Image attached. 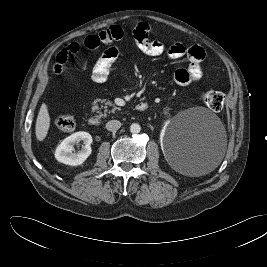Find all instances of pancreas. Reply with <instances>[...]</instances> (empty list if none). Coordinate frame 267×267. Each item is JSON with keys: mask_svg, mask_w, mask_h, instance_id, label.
I'll return each instance as SVG.
<instances>
[{"mask_svg": "<svg viewBox=\"0 0 267 267\" xmlns=\"http://www.w3.org/2000/svg\"><path fill=\"white\" fill-rule=\"evenodd\" d=\"M100 102L101 104H104V105H101V108H104L105 109V111H107V107L108 106H112L113 107V109H112V112H115L117 109H118V107H116L111 101H107V100H105V99H97L96 101H94V106H93V110L95 111V110H99L100 108H99V106L96 104V102Z\"/></svg>", "mask_w": 267, "mask_h": 267, "instance_id": "cf45deb5", "label": "pancreas"}]
</instances>
